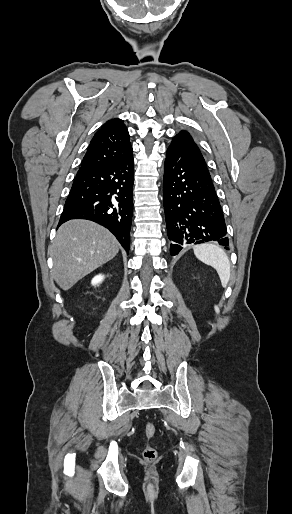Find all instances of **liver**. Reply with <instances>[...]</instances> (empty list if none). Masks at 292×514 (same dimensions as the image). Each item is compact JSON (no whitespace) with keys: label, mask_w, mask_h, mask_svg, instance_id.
<instances>
[{"label":"liver","mask_w":292,"mask_h":514,"mask_svg":"<svg viewBox=\"0 0 292 514\" xmlns=\"http://www.w3.org/2000/svg\"><path fill=\"white\" fill-rule=\"evenodd\" d=\"M53 278L62 290L115 258L119 244L106 228L88 220H70L60 226L49 248Z\"/></svg>","instance_id":"obj_1"}]
</instances>
